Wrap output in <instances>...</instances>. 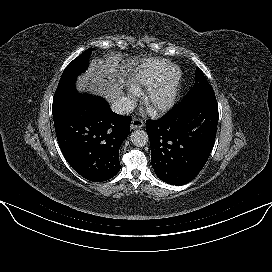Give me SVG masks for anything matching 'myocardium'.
<instances>
[{"label":"myocardium","instance_id":"obj_1","mask_svg":"<svg viewBox=\"0 0 272 272\" xmlns=\"http://www.w3.org/2000/svg\"><path fill=\"white\" fill-rule=\"evenodd\" d=\"M182 72L176 65H169L161 77L150 86L143 96L145 107L153 114L169 111L176 103L179 95ZM167 90V95L159 99V94Z\"/></svg>","mask_w":272,"mask_h":272}]
</instances>
